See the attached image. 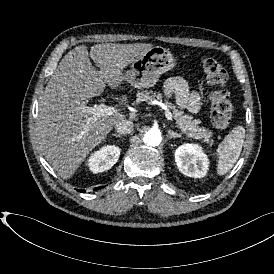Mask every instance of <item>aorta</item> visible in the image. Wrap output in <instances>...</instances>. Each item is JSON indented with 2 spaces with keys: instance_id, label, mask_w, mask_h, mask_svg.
Here are the masks:
<instances>
[{
  "instance_id": "762f6f07",
  "label": "aorta",
  "mask_w": 274,
  "mask_h": 274,
  "mask_svg": "<svg viewBox=\"0 0 274 274\" xmlns=\"http://www.w3.org/2000/svg\"><path fill=\"white\" fill-rule=\"evenodd\" d=\"M162 136L159 129L152 128L148 130L143 137V141L148 146H158L161 143Z\"/></svg>"
}]
</instances>
